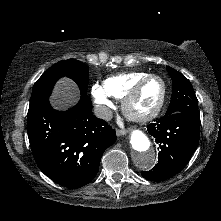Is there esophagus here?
Masks as SVG:
<instances>
[{
	"label": "esophagus",
	"mask_w": 221,
	"mask_h": 221,
	"mask_svg": "<svg viewBox=\"0 0 221 221\" xmlns=\"http://www.w3.org/2000/svg\"><path fill=\"white\" fill-rule=\"evenodd\" d=\"M127 131L125 129H117L116 134L117 136H123L126 135Z\"/></svg>",
	"instance_id": "1"
}]
</instances>
